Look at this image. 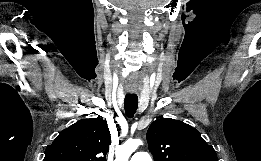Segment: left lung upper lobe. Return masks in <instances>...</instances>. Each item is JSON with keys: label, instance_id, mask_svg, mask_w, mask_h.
I'll return each instance as SVG.
<instances>
[{"label": "left lung upper lobe", "instance_id": "obj_1", "mask_svg": "<svg viewBox=\"0 0 261 161\" xmlns=\"http://www.w3.org/2000/svg\"><path fill=\"white\" fill-rule=\"evenodd\" d=\"M146 136L154 161H218L212 145L182 121L158 119L150 125Z\"/></svg>", "mask_w": 261, "mask_h": 161}]
</instances>
